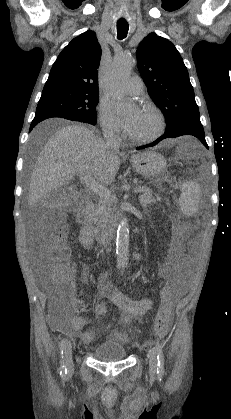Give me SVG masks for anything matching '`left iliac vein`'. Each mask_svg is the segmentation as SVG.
I'll list each match as a JSON object with an SVG mask.
<instances>
[{
  "label": "left iliac vein",
  "instance_id": "obj_1",
  "mask_svg": "<svg viewBox=\"0 0 231 419\" xmlns=\"http://www.w3.org/2000/svg\"><path fill=\"white\" fill-rule=\"evenodd\" d=\"M149 358V369L152 374L156 373L157 370V353L154 348H151L148 353Z\"/></svg>",
  "mask_w": 231,
  "mask_h": 419
}]
</instances>
